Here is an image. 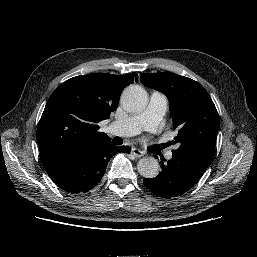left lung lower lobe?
Returning <instances> with one entry per match:
<instances>
[{"label":"left lung lower lobe","mask_w":257,"mask_h":257,"mask_svg":"<svg viewBox=\"0 0 257 257\" xmlns=\"http://www.w3.org/2000/svg\"><path fill=\"white\" fill-rule=\"evenodd\" d=\"M172 154V159L167 164L161 160L162 171L157 177L143 181L158 197L172 198L182 195L199 181L210 165L189 153L174 150Z\"/></svg>","instance_id":"obj_1"}]
</instances>
